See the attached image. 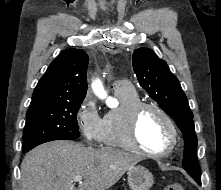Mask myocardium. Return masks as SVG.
<instances>
[{
    "label": "myocardium",
    "instance_id": "1",
    "mask_svg": "<svg viewBox=\"0 0 221 190\" xmlns=\"http://www.w3.org/2000/svg\"><path fill=\"white\" fill-rule=\"evenodd\" d=\"M146 109H153L157 111L168 124L171 131V142L169 146L161 151H152L144 146L139 141L138 138V123L139 118L142 112ZM125 134L129 146L133 151L140 154L151 156V157H163L170 154L178 145L179 134L176 124L172 117L158 104L153 102H139L132 106L127 114L126 125H125Z\"/></svg>",
    "mask_w": 221,
    "mask_h": 190
}]
</instances>
